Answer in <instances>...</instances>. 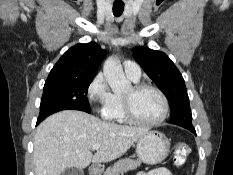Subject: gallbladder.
<instances>
[{"label": "gallbladder", "instance_id": "obj_1", "mask_svg": "<svg viewBox=\"0 0 233 175\" xmlns=\"http://www.w3.org/2000/svg\"><path fill=\"white\" fill-rule=\"evenodd\" d=\"M61 175H84V171L80 168L70 167L65 169Z\"/></svg>", "mask_w": 233, "mask_h": 175}]
</instances>
